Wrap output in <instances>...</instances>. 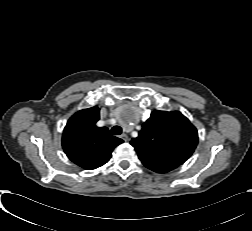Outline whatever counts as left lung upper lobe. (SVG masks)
<instances>
[{
  "mask_svg": "<svg viewBox=\"0 0 252 231\" xmlns=\"http://www.w3.org/2000/svg\"><path fill=\"white\" fill-rule=\"evenodd\" d=\"M198 143L196 128L180 112L153 111L130 144L139 159L150 165L183 164Z\"/></svg>",
  "mask_w": 252,
  "mask_h": 231,
  "instance_id": "5c2ea615",
  "label": "left lung upper lobe"
}]
</instances>
